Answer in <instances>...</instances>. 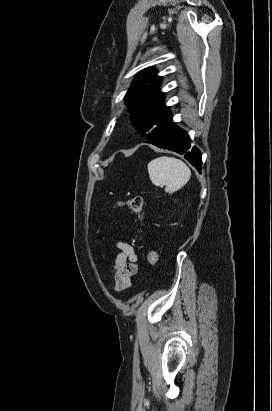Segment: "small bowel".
Segmentation results:
<instances>
[{
    "label": "small bowel",
    "mask_w": 272,
    "mask_h": 411,
    "mask_svg": "<svg viewBox=\"0 0 272 411\" xmlns=\"http://www.w3.org/2000/svg\"><path fill=\"white\" fill-rule=\"evenodd\" d=\"M118 254L114 261L111 274L114 280V290L118 293L131 287L132 278L138 273V255L132 245L119 241L115 244Z\"/></svg>",
    "instance_id": "obj_1"
}]
</instances>
